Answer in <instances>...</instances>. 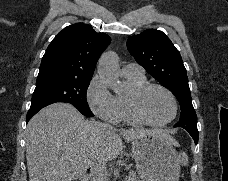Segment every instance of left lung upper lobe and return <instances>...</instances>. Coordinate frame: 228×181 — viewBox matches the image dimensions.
Instances as JSON below:
<instances>
[{
  "mask_svg": "<svg viewBox=\"0 0 228 181\" xmlns=\"http://www.w3.org/2000/svg\"><path fill=\"white\" fill-rule=\"evenodd\" d=\"M127 48L136 62L178 99L181 118L175 127L197 130L186 69L170 39L162 31L148 29L129 37Z\"/></svg>",
  "mask_w": 228,
  "mask_h": 181,
  "instance_id": "left-lung-upper-lobe-1",
  "label": "left lung upper lobe"
}]
</instances>
